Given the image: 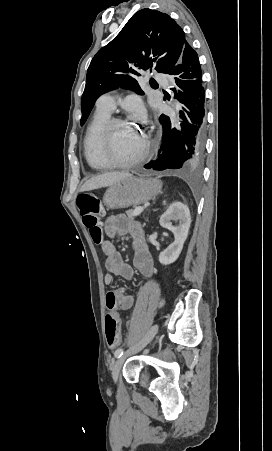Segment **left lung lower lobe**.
I'll return each instance as SVG.
<instances>
[{"mask_svg": "<svg viewBox=\"0 0 272 451\" xmlns=\"http://www.w3.org/2000/svg\"><path fill=\"white\" fill-rule=\"evenodd\" d=\"M179 101L178 122L161 115L163 144L160 158L145 165L155 170L188 169L198 166L204 157L205 91L196 51L187 41L178 63L168 72Z\"/></svg>", "mask_w": 272, "mask_h": 451, "instance_id": "obj_1", "label": "left lung lower lobe"}]
</instances>
